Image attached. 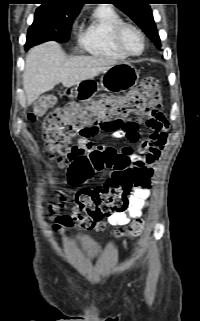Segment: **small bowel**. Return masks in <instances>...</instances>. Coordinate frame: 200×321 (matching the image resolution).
<instances>
[{"label": "small bowel", "mask_w": 200, "mask_h": 321, "mask_svg": "<svg viewBox=\"0 0 200 321\" xmlns=\"http://www.w3.org/2000/svg\"><path fill=\"white\" fill-rule=\"evenodd\" d=\"M143 123L152 133L142 141H139L141 121L124 119L115 128L107 130L112 132L114 138L125 139L130 143V145L123 147L120 151L111 146L97 145L91 140L92 136L87 135H81L77 144L73 146V155L80 152L92 151L115 153L127 158L138 173L141 183L131 192L126 208L108 216V222L113 226H123L132 219H138L141 216L142 210L148 206L151 194V179L154 174L153 165L159 159L161 152L167 144L168 120L164 113L160 111L150 112ZM132 144H137V147H134ZM59 196L60 203L56 208L62 210L65 206V197L62 192H59ZM53 220L57 228L73 225L65 214H57L53 217Z\"/></svg>", "instance_id": "obj_1"}]
</instances>
